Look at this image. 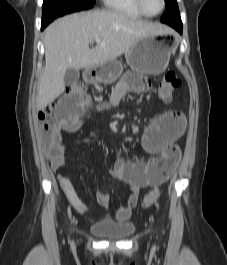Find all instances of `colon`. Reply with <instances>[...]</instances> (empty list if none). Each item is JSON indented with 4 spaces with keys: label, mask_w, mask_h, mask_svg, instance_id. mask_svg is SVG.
Segmentation results:
<instances>
[{
    "label": "colon",
    "mask_w": 227,
    "mask_h": 265,
    "mask_svg": "<svg viewBox=\"0 0 227 265\" xmlns=\"http://www.w3.org/2000/svg\"><path fill=\"white\" fill-rule=\"evenodd\" d=\"M182 85L181 78L173 71L167 72L159 87V96L164 102H169L172 99L174 90ZM71 87H83L81 84H74ZM68 91V90H67ZM84 91V87H83ZM53 107L47 106L40 113L39 118L44 122V128L47 132H50L51 124L50 119L52 117ZM180 157V150L178 147L169 148L164 154L157 158V164L161 168L165 175H170L177 166ZM160 191L158 188L152 189L143 199L142 206L150 207L158 200Z\"/></svg>",
    "instance_id": "1"
}]
</instances>
